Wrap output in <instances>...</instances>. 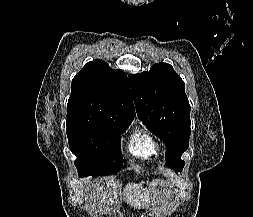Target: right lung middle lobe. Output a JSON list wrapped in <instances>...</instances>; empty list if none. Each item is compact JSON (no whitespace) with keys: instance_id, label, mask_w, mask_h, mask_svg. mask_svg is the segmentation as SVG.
Segmentation results:
<instances>
[{"instance_id":"obj_1","label":"right lung middle lobe","mask_w":253,"mask_h":217,"mask_svg":"<svg viewBox=\"0 0 253 217\" xmlns=\"http://www.w3.org/2000/svg\"><path fill=\"white\" fill-rule=\"evenodd\" d=\"M67 137L71 152L77 157L74 162L80 177L109 175L120 170L121 134L130 121L67 115Z\"/></svg>"}]
</instances>
